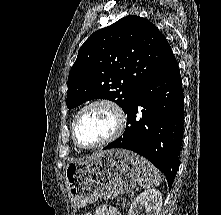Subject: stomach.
I'll return each instance as SVG.
<instances>
[{
    "instance_id": "obj_1",
    "label": "stomach",
    "mask_w": 221,
    "mask_h": 215,
    "mask_svg": "<svg viewBox=\"0 0 221 215\" xmlns=\"http://www.w3.org/2000/svg\"><path fill=\"white\" fill-rule=\"evenodd\" d=\"M141 174L140 156L125 149H111L70 162L64 171L74 208H82L98 198L109 200L133 191Z\"/></svg>"
}]
</instances>
